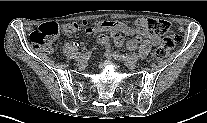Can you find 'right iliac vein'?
Masks as SVG:
<instances>
[{"label":"right iliac vein","instance_id":"63e3f726","mask_svg":"<svg viewBox=\"0 0 207 123\" xmlns=\"http://www.w3.org/2000/svg\"><path fill=\"white\" fill-rule=\"evenodd\" d=\"M77 65H78L79 68H84L85 67V63L82 60L78 61Z\"/></svg>","mask_w":207,"mask_h":123}]
</instances>
